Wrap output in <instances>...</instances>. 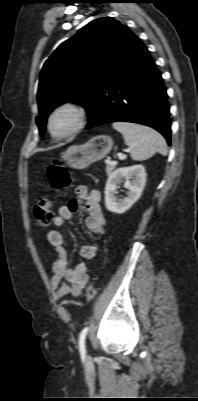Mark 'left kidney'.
Returning a JSON list of instances; mask_svg holds the SVG:
<instances>
[{"instance_id": "left-kidney-1", "label": "left kidney", "mask_w": 198, "mask_h": 401, "mask_svg": "<svg viewBox=\"0 0 198 401\" xmlns=\"http://www.w3.org/2000/svg\"><path fill=\"white\" fill-rule=\"evenodd\" d=\"M146 171L142 165L121 167L110 174L105 187L106 208L117 214L126 212L141 196L146 183ZM125 179L128 197L118 199L115 195L118 184ZM132 179V180H130Z\"/></svg>"}]
</instances>
